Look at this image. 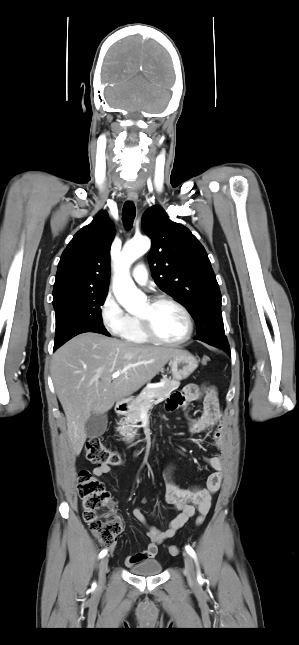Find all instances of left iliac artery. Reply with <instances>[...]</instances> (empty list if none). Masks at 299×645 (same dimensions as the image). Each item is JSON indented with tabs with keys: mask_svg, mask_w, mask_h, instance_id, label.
<instances>
[{
	"mask_svg": "<svg viewBox=\"0 0 299 645\" xmlns=\"http://www.w3.org/2000/svg\"><path fill=\"white\" fill-rule=\"evenodd\" d=\"M185 549H186L187 553L196 561V554H195L193 548L191 546H189V545H186ZM201 580H202V578H201L200 572L198 570V581H201Z\"/></svg>",
	"mask_w": 299,
	"mask_h": 645,
	"instance_id": "left-iliac-artery-1",
	"label": "left iliac artery"
}]
</instances>
